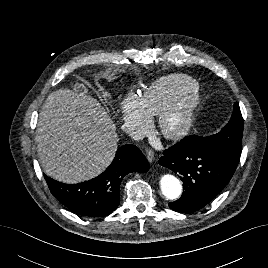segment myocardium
<instances>
[{
	"instance_id": "1",
	"label": "myocardium",
	"mask_w": 268,
	"mask_h": 268,
	"mask_svg": "<svg viewBox=\"0 0 268 268\" xmlns=\"http://www.w3.org/2000/svg\"><path fill=\"white\" fill-rule=\"evenodd\" d=\"M202 95L198 87L184 90L173 98L158 116V130L168 140L183 138L192 128Z\"/></svg>"
}]
</instances>
